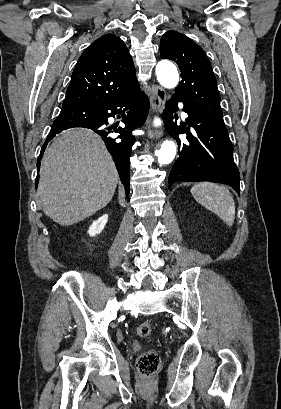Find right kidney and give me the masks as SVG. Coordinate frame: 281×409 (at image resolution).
I'll return each instance as SVG.
<instances>
[{"mask_svg":"<svg viewBox=\"0 0 281 409\" xmlns=\"http://www.w3.org/2000/svg\"><path fill=\"white\" fill-rule=\"evenodd\" d=\"M107 221L108 215H103V217H99L98 221H94V223H92L91 227L88 229L90 237H96V235L102 233Z\"/></svg>","mask_w":281,"mask_h":409,"instance_id":"ca27d5eb","label":"right kidney"}]
</instances>
